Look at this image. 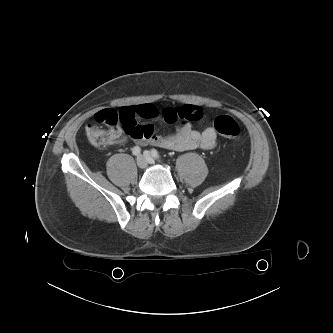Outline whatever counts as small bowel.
I'll return each instance as SVG.
<instances>
[{
  "label": "small bowel",
  "instance_id": "small-bowel-1",
  "mask_svg": "<svg viewBox=\"0 0 333 333\" xmlns=\"http://www.w3.org/2000/svg\"><path fill=\"white\" fill-rule=\"evenodd\" d=\"M132 110L137 117L142 119H162L168 125H178L164 134H159L151 124H138L137 130L130 134L123 131L114 132L112 144L123 143L130 139L139 145L150 144L175 151L211 150L217 146V132L213 127L202 131L193 127V122L199 121L203 117V111L198 106L183 105L160 111L151 104H143L133 107Z\"/></svg>",
  "mask_w": 333,
  "mask_h": 333
}]
</instances>
